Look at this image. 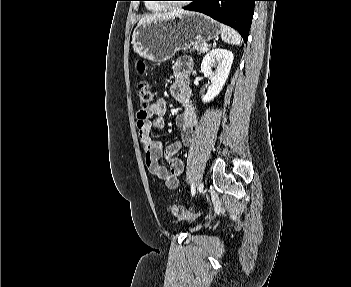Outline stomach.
Here are the masks:
<instances>
[{
  "mask_svg": "<svg viewBox=\"0 0 351 287\" xmlns=\"http://www.w3.org/2000/svg\"><path fill=\"white\" fill-rule=\"evenodd\" d=\"M221 25L197 12L138 24L132 35L134 51L155 63H162L192 42L218 37Z\"/></svg>",
  "mask_w": 351,
  "mask_h": 287,
  "instance_id": "stomach-1",
  "label": "stomach"
}]
</instances>
